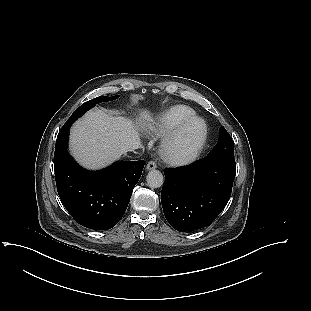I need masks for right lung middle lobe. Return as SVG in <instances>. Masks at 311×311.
<instances>
[{"mask_svg":"<svg viewBox=\"0 0 311 311\" xmlns=\"http://www.w3.org/2000/svg\"><path fill=\"white\" fill-rule=\"evenodd\" d=\"M119 97L113 96V97H107V96H99L97 98H94L90 101L85 102L82 104L72 115L71 117L67 120V122L64 124L63 129L70 128L71 124L81 117L85 112H87L90 108L94 107L97 103H101L104 101H110V100H115ZM62 129V130H63Z\"/></svg>","mask_w":311,"mask_h":311,"instance_id":"1","label":"right lung middle lobe"}]
</instances>
